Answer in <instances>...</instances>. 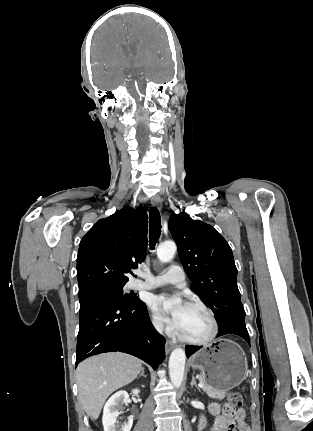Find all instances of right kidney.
<instances>
[{"label":"right kidney","mask_w":313,"mask_h":431,"mask_svg":"<svg viewBox=\"0 0 313 431\" xmlns=\"http://www.w3.org/2000/svg\"><path fill=\"white\" fill-rule=\"evenodd\" d=\"M140 392L139 389L132 390V393L138 395ZM129 402V394L124 391H118L114 395H112L109 400L106 402L103 409V418L102 423L104 427V431H130L133 425V416L128 417V421L125 422L122 426H119L117 423L118 416L122 413L120 409L123 404H127Z\"/></svg>","instance_id":"obj_1"}]
</instances>
